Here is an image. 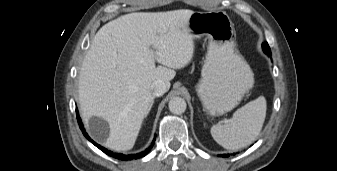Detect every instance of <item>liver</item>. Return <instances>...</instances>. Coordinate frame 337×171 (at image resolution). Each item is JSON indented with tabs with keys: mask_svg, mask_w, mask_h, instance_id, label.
<instances>
[{
	"mask_svg": "<svg viewBox=\"0 0 337 171\" xmlns=\"http://www.w3.org/2000/svg\"><path fill=\"white\" fill-rule=\"evenodd\" d=\"M193 13H130L96 33L80 68L78 93L86 125L92 116L108 122L105 147L133 148L154 99L152 83L164 81L169 89L175 69L191 61L194 41L188 21Z\"/></svg>",
	"mask_w": 337,
	"mask_h": 171,
	"instance_id": "liver-1",
	"label": "liver"
}]
</instances>
